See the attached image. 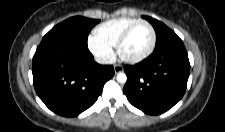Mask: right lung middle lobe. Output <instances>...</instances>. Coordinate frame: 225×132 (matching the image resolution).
Listing matches in <instances>:
<instances>
[{"label": "right lung middle lobe", "mask_w": 225, "mask_h": 132, "mask_svg": "<svg viewBox=\"0 0 225 132\" xmlns=\"http://www.w3.org/2000/svg\"><path fill=\"white\" fill-rule=\"evenodd\" d=\"M99 20L81 16L71 17L53 27L42 39L41 43L60 42L87 47V37Z\"/></svg>", "instance_id": "1"}]
</instances>
